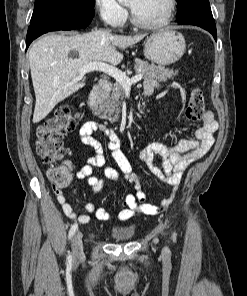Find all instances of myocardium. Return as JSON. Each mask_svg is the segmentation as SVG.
I'll return each instance as SVG.
<instances>
[{"label": "myocardium", "mask_w": 247, "mask_h": 296, "mask_svg": "<svg viewBox=\"0 0 247 296\" xmlns=\"http://www.w3.org/2000/svg\"><path fill=\"white\" fill-rule=\"evenodd\" d=\"M167 4V12L165 17L157 22V23H144L139 21L136 16L134 15L132 9L130 10V19L134 26L145 29V30H157L166 27L173 19L175 9H176V2L175 0H166Z\"/></svg>", "instance_id": "f54148a6"}]
</instances>
